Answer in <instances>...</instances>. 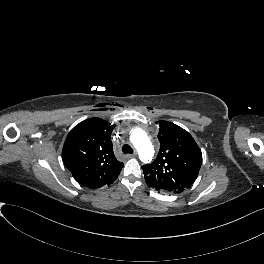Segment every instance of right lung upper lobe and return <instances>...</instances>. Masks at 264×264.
Returning <instances> with one entry per match:
<instances>
[{"mask_svg": "<svg viewBox=\"0 0 264 264\" xmlns=\"http://www.w3.org/2000/svg\"><path fill=\"white\" fill-rule=\"evenodd\" d=\"M114 127L106 120L91 118L69 132L62 159L79 184L96 189L118 177L123 163L113 153L110 135Z\"/></svg>", "mask_w": 264, "mask_h": 264, "instance_id": "1", "label": "right lung upper lobe"}]
</instances>
